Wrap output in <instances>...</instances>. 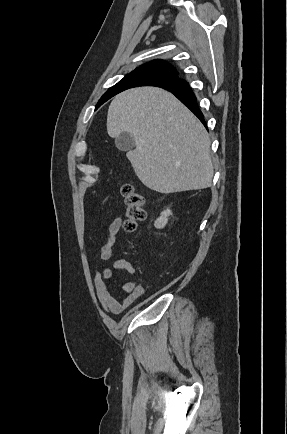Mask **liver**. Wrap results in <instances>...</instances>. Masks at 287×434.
Segmentation results:
<instances>
[{
	"mask_svg": "<svg viewBox=\"0 0 287 434\" xmlns=\"http://www.w3.org/2000/svg\"><path fill=\"white\" fill-rule=\"evenodd\" d=\"M112 138L131 134L136 149L127 154L139 180L169 194L211 186L213 165L209 135L172 93L140 87L117 95L107 114Z\"/></svg>",
	"mask_w": 287,
	"mask_h": 434,
	"instance_id": "obj_1",
	"label": "liver"
}]
</instances>
